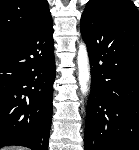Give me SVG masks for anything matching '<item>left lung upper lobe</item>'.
Wrapping results in <instances>:
<instances>
[{
    "instance_id": "obj_1",
    "label": "left lung upper lobe",
    "mask_w": 139,
    "mask_h": 150,
    "mask_svg": "<svg viewBox=\"0 0 139 150\" xmlns=\"http://www.w3.org/2000/svg\"><path fill=\"white\" fill-rule=\"evenodd\" d=\"M110 3H131L133 4L130 0H90L87 3L86 7L89 6H95V5H104V4H110Z\"/></svg>"
}]
</instances>
